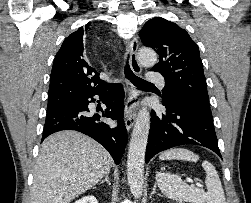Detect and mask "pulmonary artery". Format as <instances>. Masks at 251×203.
<instances>
[{
  "label": "pulmonary artery",
  "mask_w": 251,
  "mask_h": 203,
  "mask_svg": "<svg viewBox=\"0 0 251 203\" xmlns=\"http://www.w3.org/2000/svg\"><path fill=\"white\" fill-rule=\"evenodd\" d=\"M147 79L150 82H154V83H157L162 86L166 85V80H165L164 76L160 73H156V72L148 73Z\"/></svg>",
  "instance_id": "1"
}]
</instances>
